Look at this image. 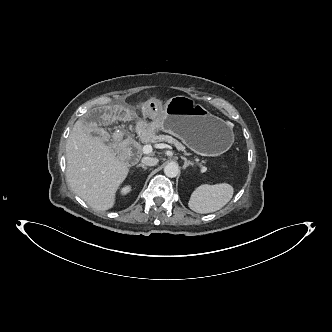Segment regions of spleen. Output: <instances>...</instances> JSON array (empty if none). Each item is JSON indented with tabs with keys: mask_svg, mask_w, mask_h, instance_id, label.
I'll return each instance as SVG.
<instances>
[{
	"mask_svg": "<svg viewBox=\"0 0 332 332\" xmlns=\"http://www.w3.org/2000/svg\"><path fill=\"white\" fill-rule=\"evenodd\" d=\"M234 189L230 184H202L191 194L188 205L197 213H212L223 208L233 197Z\"/></svg>",
	"mask_w": 332,
	"mask_h": 332,
	"instance_id": "obj_1",
	"label": "spleen"
}]
</instances>
